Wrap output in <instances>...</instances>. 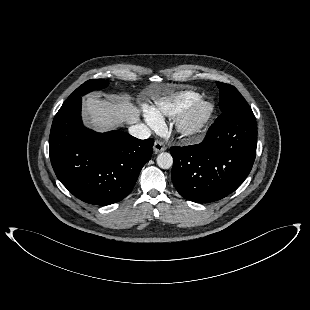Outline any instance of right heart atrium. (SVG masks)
I'll list each match as a JSON object with an SVG mask.
<instances>
[{
  "label": "right heart atrium",
  "instance_id": "1",
  "mask_svg": "<svg viewBox=\"0 0 310 310\" xmlns=\"http://www.w3.org/2000/svg\"><path fill=\"white\" fill-rule=\"evenodd\" d=\"M148 110L146 111V121L154 128L157 130H160L162 125H163V121L162 119L157 118L156 116H153L151 114L148 113Z\"/></svg>",
  "mask_w": 310,
  "mask_h": 310
}]
</instances>
